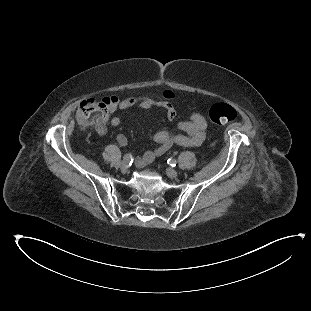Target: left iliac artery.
Masks as SVG:
<instances>
[{
	"label": "left iliac artery",
	"instance_id": "left-iliac-artery-1",
	"mask_svg": "<svg viewBox=\"0 0 311 311\" xmlns=\"http://www.w3.org/2000/svg\"><path fill=\"white\" fill-rule=\"evenodd\" d=\"M167 163H168L170 166L174 167V166H176L177 161H176V159H174V158H169V159L167 160Z\"/></svg>",
	"mask_w": 311,
	"mask_h": 311
}]
</instances>
